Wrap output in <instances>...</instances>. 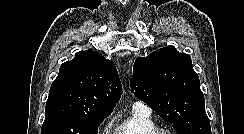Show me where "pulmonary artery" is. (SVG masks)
<instances>
[{"label":"pulmonary artery","instance_id":"e3ab8cb5","mask_svg":"<svg viewBox=\"0 0 244 134\" xmlns=\"http://www.w3.org/2000/svg\"><path fill=\"white\" fill-rule=\"evenodd\" d=\"M134 109L142 110V111H145V112L149 111V109L144 104H142L140 102L135 103Z\"/></svg>","mask_w":244,"mask_h":134}]
</instances>
